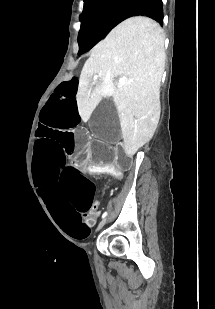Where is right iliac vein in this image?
Instances as JSON below:
<instances>
[{
	"label": "right iliac vein",
	"instance_id": "1",
	"mask_svg": "<svg viewBox=\"0 0 215 309\" xmlns=\"http://www.w3.org/2000/svg\"><path fill=\"white\" fill-rule=\"evenodd\" d=\"M107 220H108V217L102 219V221H101L100 224L98 225V228H97L96 231H98V230H100L101 228H103V226L106 224Z\"/></svg>",
	"mask_w": 215,
	"mask_h": 309
}]
</instances>
